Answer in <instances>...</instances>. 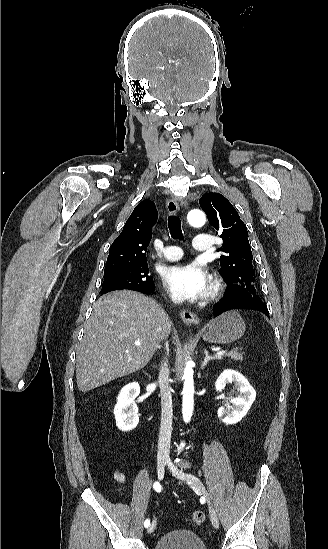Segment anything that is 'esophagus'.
<instances>
[{
    "mask_svg": "<svg viewBox=\"0 0 328 549\" xmlns=\"http://www.w3.org/2000/svg\"><path fill=\"white\" fill-rule=\"evenodd\" d=\"M166 209L169 215H174L178 212L179 204L178 200L174 197L166 201ZM180 317L187 325L198 324L199 319L191 310H182Z\"/></svg>",
    "mask_w": 328,
    "mask_h": 549,
    "instance_id": "obj_1",
    "label": "esophagus"
}]
</instances>
